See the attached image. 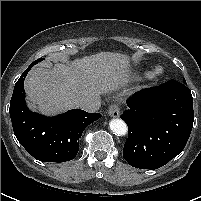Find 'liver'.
<instances>
[{"label":"liver","instance_id":"liver-1","mask_svg":"<svg viewBox=\"0 0 201 201\" xmlns=\"http://www.w3.org/2000/svg\"><path fill=\"white\" fill-rule=\"evenodd\" d=\"M129 57L100 52L70 63L43 64L25 80L29 105L45 115L74 108L77 98L115 91L129 80Z\"/></svg>","mask_w":201,"mask_h":201}]
</instances>
